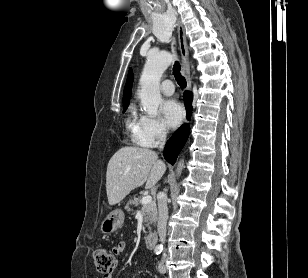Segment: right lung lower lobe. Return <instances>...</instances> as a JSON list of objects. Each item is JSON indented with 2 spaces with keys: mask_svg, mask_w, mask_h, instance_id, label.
Masks as SVG:
<instances>
[{
  "mask_svg": "<svg viewBox=\"0 0 308 278\" xmlns=\"http://www.w3.org/2000/svg\"><path fill=\"white\" fill-rule=\"evenodd\" d=\"M185 105L187 108L188 117L191 113V103H192V94L188 91L185 92ZM189 136V126L183 125L177 130L173 136L167 141L165 149H164V158L166 161H168L170 164H174L176 161V158L183 148L187 138Z\"/></svg>",
  "mask_w": 308,
  "mask_h": 278,
  "instance_id": "98d812e1",
  "label": "right lung lower lobe"
}]
</instances>
